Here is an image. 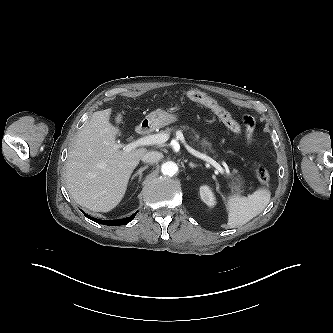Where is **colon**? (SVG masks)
Listing matches in <instances>:
<instances>
[{
    "instance_id": "1",
    "label": "colon",
    "mask_w": 333,
    "mask_h": 333,
    "mask_svg": "<svg viewBox=\"0 0 333 333\" xmlns=\"http://www.w3.org/2000/svg\"><path fill=\"white\" fill-rule=\"evenodd\" d=\"M183 96L192 101L199 102L211 109V111L231 132L235 134L241 133L242 129L239 123L234 120L232 116L213 98L198 90L186 91L183 93ZM118 119H121V116H119ZM256 178L260 183L266 184L270 180V174L266 168L260 167L256 170Z\"/></svg>"
}]
</instances>
